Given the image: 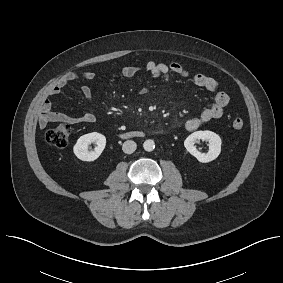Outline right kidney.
Returning <instances> with one entry per match:
<instances>
[{"label": "right kidney", "mask_w": 283, "mask_h": 283, "mask_svg": "<svg viewBox=\"0 0 283 283\" xmlns=\"http://www.w3.org/2000/svg\"><path fill=\"white\" fill-rule=\"evenodd\" d=\"M95 143L94 151H89L88 146ZM106 145V137L103 134L92 132L81 136L73 147L76 157L82 161H95L102 153Z\"/></svg>", "instance_id": "right-kidney-1"}]
</instances>
